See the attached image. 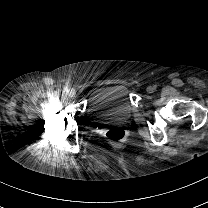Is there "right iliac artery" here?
I'll list each match as a JSON object with an SVG mask.
<instances>
[{"label":"right iliac artery","mask_w":208,"mask_h":208,"mask_svg":"<svg viewBox=\"0 0 208 208\" xmlns=\"http://www.w3.org/2000/svg\"><path fill=\"white\" fill-rule=\"evenodd\" d=\"M64 91H65V92H69V90H68V88H67V87H66V88H64Z\"/></svg>","instance_id":"obj_1"}]
</instances>
